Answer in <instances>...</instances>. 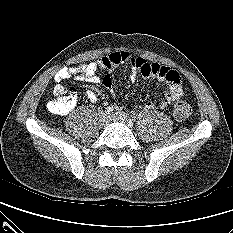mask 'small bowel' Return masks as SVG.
<instances>
[{"mask_svg":"<svg viewBox=\"0 0 233 233\" xmlns=\"http://www.w3.org/2000/svg\"><path fill=\"white\" fill-rule=\"evenodd\" d=\"M123 63H129L132 66L131 81H135L140 73L145 78H157L166 84V92L160 102L148 101L145 103V108L148 110L163 109L178 100L183 93L180 75L177 71L169 67L156 63H148L143 58L136 57L126 51L113 52L109 55L102 56L98 60L83 64L76 67H63L54 75V92L62 88L61 82L70 77L81 82L90 84L103 83L109 87L111 84L110 77L107 75L101 79L98 75L99 70H110ZM86 98L90 101H96L97 96L92 91L85 93ZM65 115V114H63Z\"/></svg>","mask_w":233,"mask_h":233,"instance_id":"c3829d8e","label":"small bowel"}]
</instances>
